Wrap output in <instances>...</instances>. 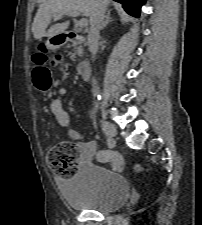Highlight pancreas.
Segmentation results:
<instances>
[{
  "mask_svg": "<svg viewBox=\"0 0 202 225\" xmlns=\"http://www.w3.org/2000/svg\"><path fill=\"white\" fill-rule=\"evenodd\" d=\"M69 54L71 55V59H75L76 54L81 56L82 55V47L81 46L77 47L75 52H73V53L70 52Z\"/></svg>",
  "mask_w": 202,
  "mask_h": 225,
  "instance_id": "obj_1",
  "label": "pancreas"
}]
</instances>
